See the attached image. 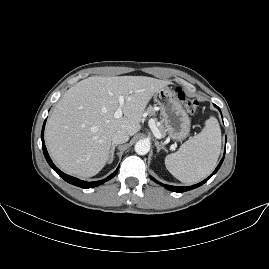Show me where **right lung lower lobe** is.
I'll use <instances>...</instances> for the list:
<instances>
[{
	"label": "right lung lower lobe",
	"mask_w": 269,
	"mask_h": 269,
	"mask_svg": "<svg viewBox=\"0 0 269 269\" xmlns=\"http://www.w3.org/2000/svg\"><path fill=\"white\" fill-rule=\"evenodd\" d=\"M45 123L46 120L44 121L43 127H42V133H41V139H42V148H43V153L44 156L48 162V164L50 165L51 168H53L59 176H61L66 182L73 184L75 186L81 187V188H93L96 187L108 180H110L111 178H113L117 172H118V168L116 169L115 172H113L111 175H109L107 178L100 180V181H93V182H86V181H82L79 180L77 178L71 177L69 175H66L65 173H63L62 171H60L52 162L51 158L48 155L47 149L45 147V143H44V128H45Z\"/></svg>",
	"instance_id": "98d812e1"
}]
</instances>
